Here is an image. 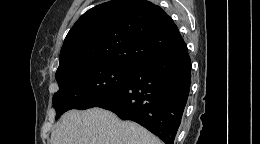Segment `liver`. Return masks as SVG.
Returning <instances> with one entry per match:
<instances>
[{
	"label": "liver",
	"instance_id": "1",
	"mask_svg": "<svg viewBox=\"0 0 260 144\" xmlns=\"http://www.w3.org/2000/svg\"><path fill=\"white\" fill-rule=\"evenodd\" d=\"M51 144H162L142 126L92 108L66 112L51 134Z\"/></svg>",
	"mask_w": 260,
	"mask_h": 144
}]
</instances>
